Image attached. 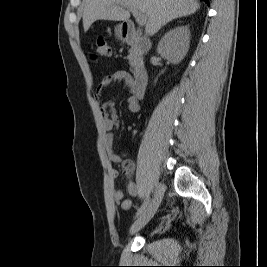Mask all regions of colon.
Instances as JSON below:
<instances>
[{"instance_id": "1", "label": "colon", "mask_w": 267, "mask_h": 267, "mask_svg": "<svg viewBox=\"0 0 267 267\" xmlns=\"http://www.w3.org/2000/svg\"><path fill=\"white\" fill-rule=\"evenodd\" d=\"M111 53V48L104 38H98L95 43L93 58L107 57Z\"/></svg>"}]
</instances>
